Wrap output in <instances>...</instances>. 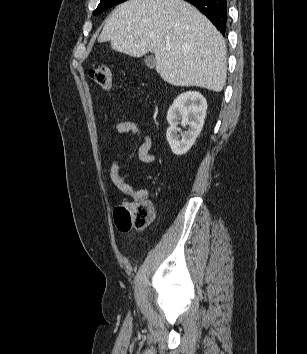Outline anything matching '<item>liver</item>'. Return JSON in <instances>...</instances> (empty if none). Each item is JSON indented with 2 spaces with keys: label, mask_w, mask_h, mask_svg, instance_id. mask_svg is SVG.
<instances>
[{
  "label": "liver",
  "mask_w": 307,
  "mask_h": 354,
  "mask_svg": "<svg viewBox=\"0 0 307 354\" xmlns=\"http://www.w3.org/2000/svg\"><path fill=\"white\" fill-rule=\"evenodd\" d=\"M98 41L133 57L154 53L156 71L171 85L215 92L225 85V40L183 0H128L112 12Z\"/></svg>",
  "instance_id": "1"
}]
</instances>
